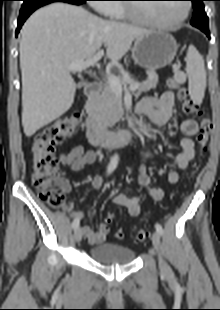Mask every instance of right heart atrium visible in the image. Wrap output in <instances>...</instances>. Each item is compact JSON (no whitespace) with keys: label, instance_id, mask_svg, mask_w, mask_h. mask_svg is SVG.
I'll list each match as a JSON object with an SVG mask.
<instances>
[{"label":"right heart atrium","instance_id":"d8ad5b80","mask_svg":"<svg viewBox=\"0 0 220 310\" xmlns=\"http://www.w3.org/2000/svg\"><path fill=\"white\" fill-rule=\"evenodd\" d=\"M110 0H95L93 5L94 9L104 15H108L110 10L114 8V5L109 3Z\"/></svg>","mask_w":220,"mask_h":310}]
</instances>
